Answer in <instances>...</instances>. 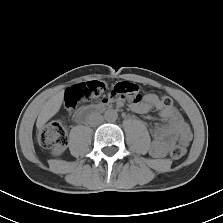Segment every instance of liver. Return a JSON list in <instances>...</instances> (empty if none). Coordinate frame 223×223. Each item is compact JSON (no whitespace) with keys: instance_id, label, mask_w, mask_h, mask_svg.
Listing matches in <instances>:
<instances>
[{"instance_id":"obj_1","label":"liver","mask_w":223,"mask_h":223,"mask_svg":"<svg viewBox=\"0 0 223 223\" xmlns=\"http://www.w3.org/2000/svg\"><path fill=\"white\" fill-rule=\"evenodd\" d=\"M63 95L64 92L60 91L43 105L36 122V126L39 130L42 129L44 124L59 111L63 102Z\"/></svg>"}]
</instances>
